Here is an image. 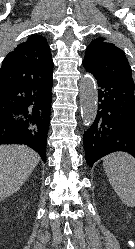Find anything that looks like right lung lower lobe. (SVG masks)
I'll return each mask as SVG.
<instances>
[{
    "label": "right lung lower lobe",
    "instance_id": "1",
    "mask_svg": "<svg viewBox=\"0 0 135 249\" xmlns=\"http://www.w3.org/2000/svg\"><path fill=\"white\" fill-rule=\"evenodd\" d=\"M53 78L0 87V144H25L46 162Z\"/></svg>",
    "mask_w": 135,
    "mask_h": 249
}]
</instances>
